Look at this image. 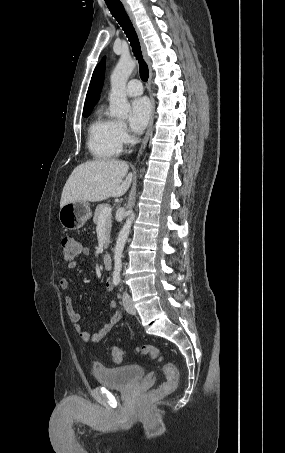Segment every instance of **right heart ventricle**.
I'll use <instances>...</instances> for the list:
<instances>
[{
  "label": "right heart ventricle",
  "instance_id": "e07e8e85",
  "mask_svg": "<svg viewBox=\"0 0 285 453\" xmlns=\"http://www.w3.org/2000/svg\"><path fill=\"white\" fill-rule=\"evenodd\" d=\"M117 137V122L104 115L103 109L96 111L88 128V149L97 159H110L121 152Z\"/></svg>",
  "mask_w": 285,
  "mask_h": 453
}]
</instances>
